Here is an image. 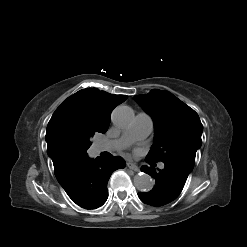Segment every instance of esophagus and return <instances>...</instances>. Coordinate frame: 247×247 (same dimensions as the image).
Wrapping results in <instances>:
<instances>
[{"mask_svg": "<svg viewBox=\"0 0 247 247\" xmlns=\"http://www.w3.org/2000/svg\"><path fill=\"white\" fill-rule=\"evenodd\" d=\"M127 167L131 170H134V171H138L139 168L137 165H135L134 163H131V162H127Z\"/></svg>", "mask_w": 247, "mask_h": 247, "instance_id": "esophagus-1", "label": "esophagus"}]
</instances>
